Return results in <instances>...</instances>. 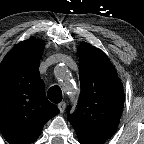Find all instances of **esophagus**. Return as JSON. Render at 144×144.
Listing matches in <instances>:
<instances>
[{"label":"esophagus","mask_w":144,"mask_h":144,"mask_svg":"<svg viewBox=\"0 0 144 144\" xmlns=\"http://www.w3.org/2000/svg\"><path fill=\"white\" fill-rule=\"evenodd\" d=\"M65 107H66V103H65V102H60V103L58 104V108H59V110H60V113H63V112H64Z\"/></svg>","instance_id":"34e87169"}]
</instances>
